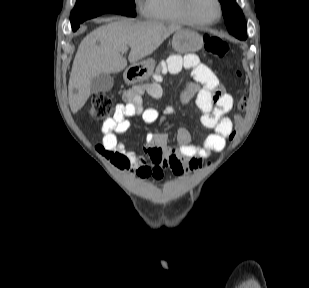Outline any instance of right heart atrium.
<instances>
[{
  "instance_id": "right-heart-atrium-1",
  "label": "right heart atrium",
  "mask_w": 309,
  "mask_h": 288,
  "mask_svg": "<svg viewBox=\"0 0 309 288\" xmlns=\"http://www.w3.org/2000/svg\"><path fill=\"white\" fill-rule=\"evenodd\" d=\"M138 3L141 1V0H136Z\"/></svg>"
}]
</instances>
